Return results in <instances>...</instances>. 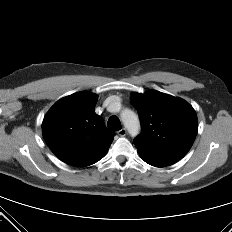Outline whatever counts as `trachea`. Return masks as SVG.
Returning a JSON list of instances; mask_svg holds the SVG:
<instances>
[{
    "mask_svg": "<svg viewBox=\"0 0 232 232\" xmlns=\"http://www.w3.org/2000/svg\"><path fill=\"white\" fill-rule=\"evenodd\" d=\"M108 128L112 131H118L122 128L120 120L117 116H111L108 119Z\"/></svg>",
    "mask_w": 232,
    "mask_h": 232,
    "instance_id": "3493384b",
    "label": "trachea"
}]
</instances>
